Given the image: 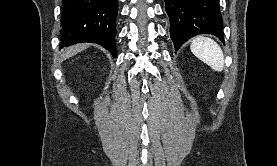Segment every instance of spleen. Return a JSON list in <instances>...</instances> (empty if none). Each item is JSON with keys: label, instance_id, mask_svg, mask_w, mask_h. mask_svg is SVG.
<instances>
[{"label": "spleen", "instance_id": "obj_1", "mask_svg": "<svg viewBox=\"0 0 277 166\" xmlns=\"http://www.w3.org/2000/svg\"><path fill=\"white\" fill-rule=\"evenodd\" d=\"M190 49L198 59L213 70L220 72L224 69L223 51L213 39L199 36L192 41Z\"/></svg>", "mask_w": 277, "mask_h": 166}]
</instances>
